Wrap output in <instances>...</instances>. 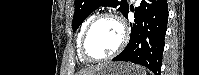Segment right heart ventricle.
<instances>
[{"instance_id":"1","label":"right heart ventricle","mask_w":199,"mask_h":75,"mask_svg":"<svg viewBox=\"0 0 199 75\" xmlns=\"http://www.w3.org/2000/svg\"><path fill=\"white\" fill-rule=\"evenodd\" d=\"M92 18H93V15H90V16H88V17L84 20V22L82 23V26H81V29H80L78 38H77L78 56H79L80 61L83 62V63H86V61H84V60L81 58L80 54H79V42H80V38H81V35H82L84 29L86 28V26L88 25V23L90 22V20H91Z\"/></svg>"}]
</instances>
